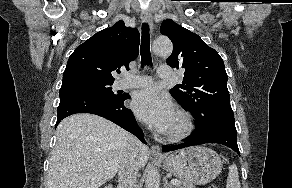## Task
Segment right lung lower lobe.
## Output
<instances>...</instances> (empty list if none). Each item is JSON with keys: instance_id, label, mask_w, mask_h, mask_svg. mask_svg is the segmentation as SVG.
<instances>
[{"instance_id": "1", "label": "right lung lower lobe", "mask_w": 292, "mask_h": 188, "mask_svg": "<svg viewBox=\"0 0 292 188\" xmlns=\"http://www.w3.org/2000/svg\"><path fill=\"white\" fill-rule=\"evenodd\" d=\"M129 98L128 94H123L120 99L107 100L94 92L82 88L60 89V104L57 108L55 128L62 119L69 115L91 113L112 121L137 136L146 144L132 111L125 107L124 102Z\"/></svg>"}]
</instances>
